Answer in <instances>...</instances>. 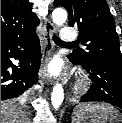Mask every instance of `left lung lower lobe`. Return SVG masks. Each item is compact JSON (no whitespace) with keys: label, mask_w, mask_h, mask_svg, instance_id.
<instances>
[{"label":"left lung lower lobe","mask_w":122,"mask_h":123,"mask_svg":"<svg viewBox=\"0 0 122 123\" xmlns=\"http://www.w3.org/2000/svg\"><path fill=\"white\" fill-rule=\"evenodd\" d=\"M68 58L73 64L82 65L92 77L93 84L81 97V102L101 101L122 109V64L99 62L87 65L76 62L70 55Z\"/></svg>","instance_id":"left-lung-lower-lobe-1"}]
</instances>
